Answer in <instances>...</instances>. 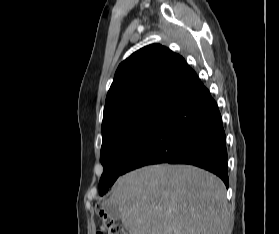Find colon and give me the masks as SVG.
Segmentation results:
<instances>
[{
  "label": "colon",
  "instance_id": "obj_1",
  "mask_svg": "<svg viewBox=\"0 0 279 234\" xmlns=\"http://www.w3.org/2000/svg\"><path fill=\"white\" fill-rule=\"evenodd\" d=\"M100 217L102 230L97 234H127L118 222L110 219L103 211H100Z\"/></svg>",
  "mask_w": 279,
  "mask_h": 234
}]
</instances>
